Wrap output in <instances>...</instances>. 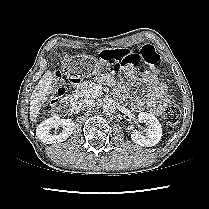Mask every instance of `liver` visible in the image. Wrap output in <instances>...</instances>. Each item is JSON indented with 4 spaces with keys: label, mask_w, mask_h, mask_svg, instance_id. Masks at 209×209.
Masks as SVG:
<instances>
[{
    "label": "liver",
    "mask_w": 209,
    "mask_h": 209,
    "mask_svg": "<svg viewBox=\"0 0 209 209\" xmlns=\"http://www.w3.org/2000/svg\"><path fill=\"white\" fill-rule=\"evenodd\" d=\"M53 82L54 75L50 70H47L35 86L30 98V118L32 122L37 121L44 103L56 93L57 90L53 86Z\"/></svg>",
    "instance_id": "1"
}]
</instances>
